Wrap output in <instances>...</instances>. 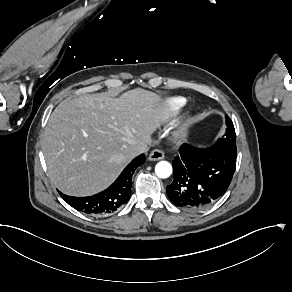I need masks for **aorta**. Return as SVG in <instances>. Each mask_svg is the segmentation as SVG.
I'll list each match as a JSON object with an SVG mask.
<instances>
[{"label":"aorta","mask_w":292,"mask_h":292,"mask_svg":"<svg viewBox=\"0 0 292 292\" xmlns=\"http://www.w3.org/2000/svg\"><path fill=\"white\" fill-rule=\"evenodd\" d=\"M155 173L159 178H168L172 173V166L166 161H161L156 165Z\"/></svg>","instance_id":"1"}]
</instances>
